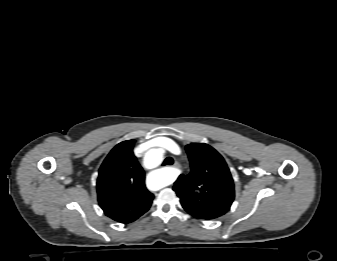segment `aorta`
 <instances>
[{"mask_svg": "<svg viewBox=\"0 0 337 261\" xmlns=\"http://www.w3.org/2000/svg\"><path fill=\"white\" fill-rule=\"evenodd\" d=\"M163 161V153L161 149L153 148L150 149L144 157L145 166L149 169L159 166ZM172 168H163L154 172V175L158 178L160 182V187L167 186L173 181V177L176 172Z\"/></svg>", "mask_w": 337, "mask_h": 261, "instance_id": "obj_1", "label": "aorta"}]
</instances>
